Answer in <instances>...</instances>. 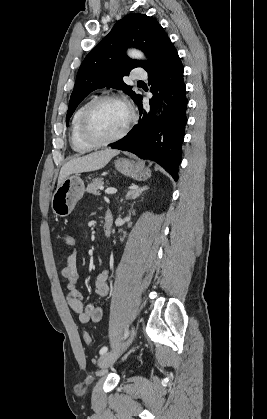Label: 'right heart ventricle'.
Masks as SVG:
<instances>
[{
    "label": "right heart ventricle",
    "instance_id": "obj_1",
    "mask_svg": "<svg viewBox=\"0 0 267 419\" xmlns=\"http://www.w3.org/2000/svg\"><path fill=\"white\" fill-rule=\"evenodd\" d=\"M87 103L82 104L74 112L72 121H71V135H70V144L72 149L80 154L90 152L94 147L85 143L79 135V120L81 113Z\"/></svg>",
    "mask_w": 267,
    "mask_h": 419
}]
</instances>
